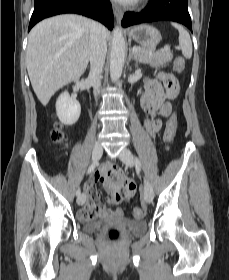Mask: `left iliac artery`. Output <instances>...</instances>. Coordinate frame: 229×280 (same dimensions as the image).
I'll return each instance as SVG.
<instances>
[{
  "label": "left iliac artery",
  "mask_w": 229,
  "mask_h": 280,
  "mask_svg": "<svg viewBox=\"0 0 229 280\" xmlns=\"http://www.w3.org/2000/svg\"><path fill=\"white\" fill-rule=\"evenodd\" d=\"M135 160H136V167L140 168L141 167V163H140L139 159L136 158Z\"/></svg>",
  "instance_id": "left-iliac-artery-1"
}]
</instances>
